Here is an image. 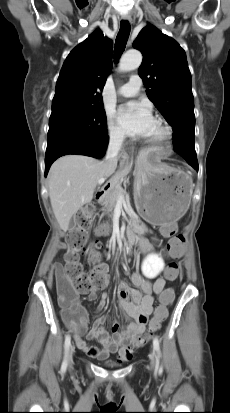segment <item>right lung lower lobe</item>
Segmentation results:
<instances>
[{
  "mask_svg": "<svg viewBox=\"0 0 230 413\" xmlns=\"http://www.w3.org/2000/svg\"><path fill=\"white\" fill-rule=\"evenodd\" d=\"M108 145V137L103 140L86 142L73 141L58 144L46 150L45 156V176L47 175L51 164L61 156L67 154L86 155L94 158L104 156Z\"/></svg>",
  "mask_w": 230,
  "mask_h": 413,
  "instance_id": "1",
  "label": "right lung lower lobe"
}]
</instances>
